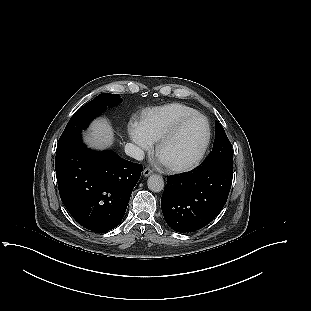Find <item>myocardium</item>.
<instances>
[{"label": "myocardium", "mask_w": 311, "mask_h": 311, "mask_svg": "<svg viewBox=\"0 0 311 311\" xmlns=\"http://www.w3.org/2000/svg\"><path fill=\"white\" fill-rule=\"evenodd\" d=\"M193 118H201L205 123L206 134H205L204 142H203L200 150L196 154V156L189 162L182 163V164H168V163H164L162 161V164L164 165V167L170 172L182 173V172H187V171L194 169L195 167H197L200 164V162L202 161V159H203L204 155L206 154V151L209 147V144L211 141L210 123H209L206 116H204L203 114H201L199 112H195V113L189 114V115L184 116L183 118L179 119L174 124V126L172 128H170L166 133H164L159 138V140L157 141V144H156V149H155L157 157L159 158V153H160V150L162 149V147L166 143H168L170 140H172L179 133L181 128L188 121H190Z\"/></svg>", "instance_id": "1"}]
</instances>
